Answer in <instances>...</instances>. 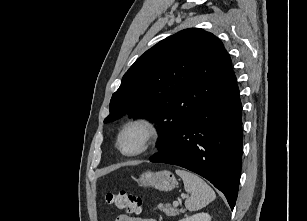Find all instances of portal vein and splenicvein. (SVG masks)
I'll return each instance as SVG.
<instances>
[{
	"instance_id": "portal-vein-and-splenic-vein-1",
	"label": "portal vein and splenic vein",
	"mask_w": 307,
	"mask_h": 221,
	"mask_svg": "<svg viewBox=\"0 0 307 221\" xmlns=\"http://www.w3.org/2000/svg\"><path fill=\"white\" fill-rule=\"evenodd\" d=\"M178 205H179V203H178L177 201H174V202H173V206H174V207H177Z\"/></svg>"
}]
</instances>
